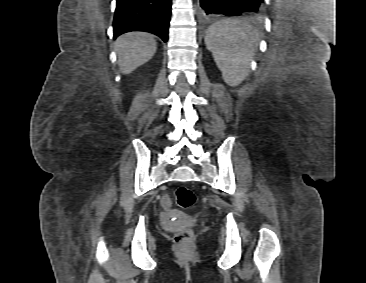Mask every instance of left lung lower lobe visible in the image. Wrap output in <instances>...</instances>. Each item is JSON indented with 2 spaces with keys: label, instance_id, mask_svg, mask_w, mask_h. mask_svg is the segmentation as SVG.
<instances>
[{
  "label": "left lung lower lobe",
  "instance_id": "0a47b994",
  "mask_svg": "<svg viewBox=\"0 0 366 283\" xmlns=\"http://www.w3.org/2000/svg\"><path fill=\"white\" fill-rule=\"evenodd\" d=\"M263 2L264 0H200V6L204 17L210 18L259 13L263 10Z\"/></svg>",
  "mask_w": 366,
  "mask_h": 283
}]
</instances>
